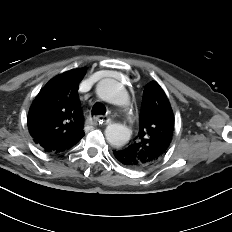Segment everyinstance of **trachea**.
I'll use <instances>...</instances> for the list:
<instances>
[{
    "label": "trachea",
    "mask_w": 232,
    "mask_h": 232,
    "mask_svg": "<svg viewBox=\"0 0 232 232\" xmlns=\"http://www.w3.org/2000/svg\"><path fill=\"white\" fill-rule=\"evenodd\" d=\"M106 113V107L101 103L94 104L92 108V115H104Z\"/></svg>",
    "instance_id": "obj_1"
}]
</instances>
